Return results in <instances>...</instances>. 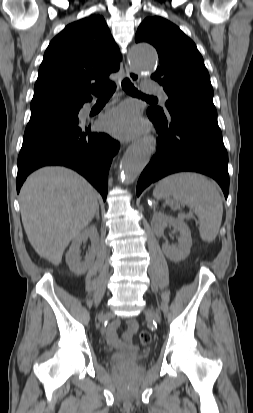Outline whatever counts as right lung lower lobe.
Wrapping results in <instances>:
<instances>
[{
	"label": "right lung lower lobe",
	"instance_id": "98d812e1",
	"mask_svg": "<svg viewBox=\"0 0 253 413\" xmlns=\"http://www.w3.org/2000/svg\"><path fill=\"white\" fill-rule=\"evenodd\" d=\"M90 124L58 130L23 141L18 156L17 192L26 177L46 165H62L83 175L106 200L108 172L119 143Z\"/></svg>",
	"mask_w": 253,
	"mask_h": 413
}]
</instances>
